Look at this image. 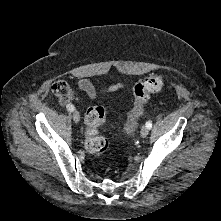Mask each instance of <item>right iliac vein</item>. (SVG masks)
I'll return each mask as SVG.
<instances>
[{"instance_id": "obj_1", "label": "right iliac vein", "mask_w": 221, "mask_h": 221, "mask_svg": "<svg viewBox=\"0 0 221 221\" xmlns=\"http://www.w3.org/2000/svg\"><path fill=\"white\" fill-rule=\"evenodd\" d=\"M73 120L75 123H78L80 121V114L77 110L73 111Z\"/></svg>"}]
</instances>
